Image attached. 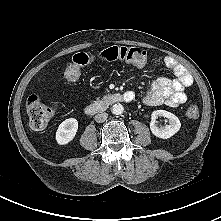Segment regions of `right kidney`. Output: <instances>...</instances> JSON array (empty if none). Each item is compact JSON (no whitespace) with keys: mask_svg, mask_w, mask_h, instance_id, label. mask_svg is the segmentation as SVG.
<instances>
[{"mask_svg":"<svg viewBox=\"0 0 221 221\" xmlns=\"http://www.w3.org/2000/svg\"><path fill=\"white\" fill-rule=\"evenodd\" d=\"M78 130V121L74 118H69L63 121L56 131V141L59 145L68 144L72 141Z\"/></svg>","mask_w":221,"mask_h":221,"instance_id":"ca27d5eb","label":"right kidney"}]
</instances>
